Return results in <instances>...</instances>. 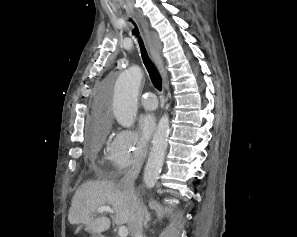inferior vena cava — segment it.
<instances>
[{"label":"inferior vena cava","instance_id":"1","mask_svg":"<svg viewBox=\"0 0 297 237\" xmlns=\"http://www.w3.org/2000/svg\"><path fill=\"white\" fill-rule=\"evenodd\" d=\"M139 167L133 166L129 169L119 182V187L125 194L130 208V219L128 222L131 237H141L143 231V219L147 209L143 202L137 197L134 190V182L139 174Z\"/></svg>","mask_w":297,"mask_h":237}]
</instances>
